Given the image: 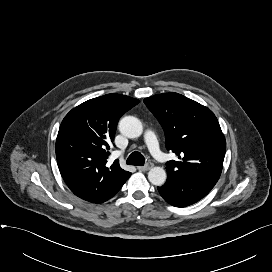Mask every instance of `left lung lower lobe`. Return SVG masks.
<instances>
[{
    "mask_svg": "<svg viewBox=\"0 0 272 272\" xmlns=\"http://www.w3.org/2000/svg\"><path fill=\"white\" fill-rule=\"evenodd\" d=\"M215 183L202 182L191 177L178 180L166 181L158 187L163 199L175 207H186L194 204L205 197Z\"/></svg>",
    "mask_w": 272,
    "mask_h": 272,
    "instance_id": "0a47b994",
    "label": "left lung lower lobe"
}]
</instances>
